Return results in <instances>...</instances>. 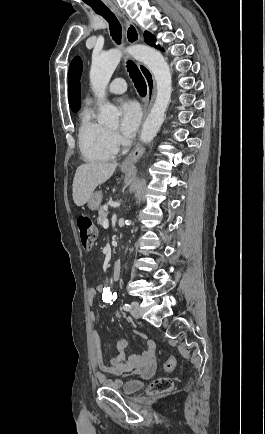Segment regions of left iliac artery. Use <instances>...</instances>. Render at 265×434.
<instances>
[{"mask_svg":"<svg viewBox=\"0 0 265 434\" xmlns=\"http://www.w3.org/2000/svg\"><path fill=\"white\" fill-rule=\"evenodd\" d=\"M130 308H131V306L129 305V304H124V306H123V309L125 310V311H129L130 310Z\"/></svg>","mask_w":265,"mask_h":434,"instance_id":"obj_1","label":"left iliac artery"}]
</instances>
